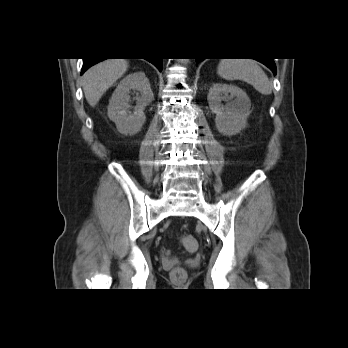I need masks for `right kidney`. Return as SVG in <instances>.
Segmentation results:
<instances>
[{"label":"right kidney","mask_w":348,"mask_h":348,"mask_svg":"<svg viewBox=\"0 0 348 348\" xmlns=\"http://www.w3.org/2000/svg\"><path fill=\"white\" fill-rule=\"evenodd\" d=\"M137 92V105L130 112V91ZM154 100L149 80L145 73L134 72L124 77L115 89L108 106V117L124 135L138 133L146 121L145 107Z\"/></svg>","instance_id":"obj_1"}]
</instances>
